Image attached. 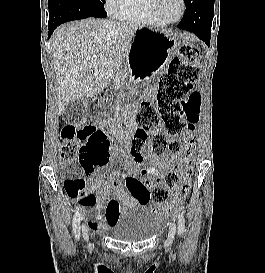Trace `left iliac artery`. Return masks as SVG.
Masks as SVG:
<instances>
[{
	"label": "left iliac artery",
	"mask_w": 265,
	"mask_h": 273,
	"mask_svg": "<svg viewBox=\"0 0 265 273\" xmlns=\"http://www.w3.org/2000/svg\"><path fill=\"white\" fill-rule=\"evenodd\" d=\"M178 218V234L181 235L185 230V219L182 213L177 212Z\"/></svg>",
	"instance_id": "left-iliac-artery-1"
}]
</instances>
